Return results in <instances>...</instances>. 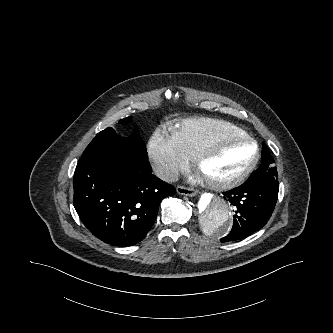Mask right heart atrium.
<instances>
[{"instance_id":"d8ad5b80","label":"right heart atrium","mask_w":333,"mask_h":333,"mask_svg":"<svg viewBox=\"0 0 333 333\" xmlns=\"http://www.w3.org/2000/svg\"><path fill=\"white\" fill-rule=\"evenodd\" d=\"M147 155L156 175L167 182L175 180L190 164V159L180 150L173 137L160 129L150 137Z\"/></svg>"}]
</instances>
